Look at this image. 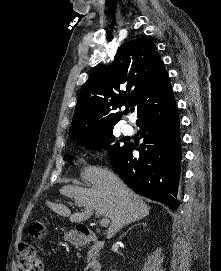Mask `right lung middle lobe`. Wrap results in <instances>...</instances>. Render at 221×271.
I'll list each match as a JSON object with an SVG mask.
<instances>
[{"mask_svg":"<svg viewBox=\"0 0 221 271\" xmlns=\"http://www.w3.org/2000/svg\"><path fill=\"white\" fill-rule=\"evenodd\" d=\"M112 130L113 129H109L103 132L81 136L75 138L74 140H78L79 145H82L88 149L106 148L113 161L116 156L126 147L127 143H125L124 146H120L119 142L113 144L115 137L113 136Z\"/></svg>","mask_w":221,"mask_h":271,"instance_id":"1","label":"right lung middle lobe"}]
</instances>
